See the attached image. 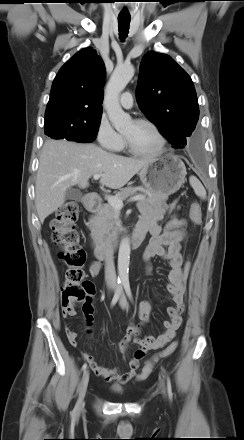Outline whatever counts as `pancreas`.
I'll list each match as a JSON object with an SVG mask.
<instances>
[{
  "instance_id": "1",
  "label": "pancreas",
  "mask_w": 244,
  "mask_h": 440,
  "mask_svg": "<svg viewBox=\"0 0 244 440\" xmlns=\"http://www.w3.org/2000/svg\"><path fill=\"white\" fill-rule=\"evenodd\" d=\"M138 191L141 193L137 194ZM133 194L143 196L144 200H142V202L149 204L156 210H169V213H171L172 210L175 209L174 204H166L165 201L167 200V197L151 194L147 190L140 187L123 188L118 193H116L115 197L123 201ZM179 208L180 207H178V209ZM119 223L120 220L117 218V211L110 205V203L104 204L96 213V215L93 216L89 221V227L93 239L97 243L102 244L106 240L115 238L118 234Z\"/></svg>"
}]
</instances>
